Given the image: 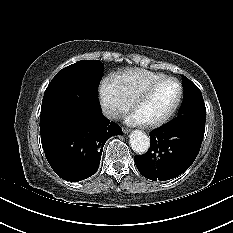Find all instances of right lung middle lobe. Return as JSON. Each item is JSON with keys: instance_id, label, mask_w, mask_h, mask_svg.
I'll list each match as a JSON object with an SVG mask.
<instances>
[{"instance_id": "right-lung-middle-lobe-1", "label": "right lung middle lobe", "mask_w": 233, "mask_h": 233, "mask_svg": "<svg viewBox=\"0 0 233 233\" xmlns=\"http://www.w3.org/2000/svg\"><path fill=\"white\" fill-rule=\"evenodd\" d=\"M103 70L100 61L82 60L59 71L44 93L40 130L55 123L76 122L83 101L99 102Z\"/></svg>"}]
</instances>
